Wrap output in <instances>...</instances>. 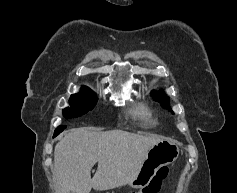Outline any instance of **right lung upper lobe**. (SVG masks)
Returning a JSON list of instances; mask_svg holds the SVG:
<instances>
[{"mask_svg":"<svg viewBox=\"0 0 237 193\" xmlns=\"http://www.w3.org/2000/svg\"><path fill=\"white\" fill-rule=\"evenodd\" d=\"M84 91H91L89 88L85 87L83 88Z\"/></svg>","mask_w":237,"mask_h":193,"instance_id":"1","label":"right lung upper lobe"}]
</instances>
